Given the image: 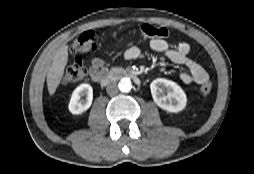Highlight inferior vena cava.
I'll use <instances>...</instances> for the list:
<instances>
[{"instance_id": "obj_1", "label": "inferior vena cava", "mask_w": 254, "mask_h": 174, "mask_svg": "<svg viewBox=\"0 0 254 174\" xmlns=\"http://www.w3.org/2000/svg\"><path fill=\"white\" fill-rule=\"evenodd\" d=\"M106 91L109 95H115L118 93V87L116 83H110L107 87H106Z\"/></svg>"}]
</instances>
